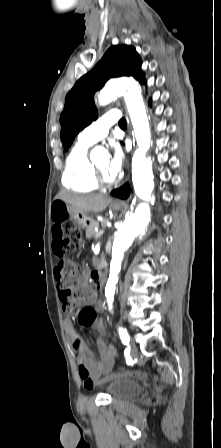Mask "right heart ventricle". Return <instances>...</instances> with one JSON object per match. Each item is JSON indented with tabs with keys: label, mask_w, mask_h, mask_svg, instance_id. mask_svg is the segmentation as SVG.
<instances>
[{
	"label": "right heart ventricle",
	"mask_w": 221,
	"mask_h": 448,
	"mask_svg": "<svg viewBox=\"0 0 221 448\" xmlns=\"http://www.w3.org/2000/svg\"><path fill=\"white\" fill-rule=\"evenodd\" d=\"M87 150L88 146L78 142L65 162L62 184L75 192H93L99 187Z\"/></svg>",
	"instance_id": "1"
}]
</instances>
